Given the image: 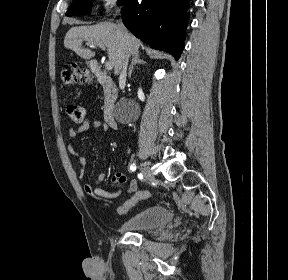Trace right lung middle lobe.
I'll return each mask as SVG.
<instances>
[{"mask_svg": "<svg viewBox=\"0 0 288 280\" xmlns=\"http://www.w3.org/2000/svg\"><path fill=\"white\" fill-rule=\"evenodd\" d=\"M124 0H119V3L122 4ZM91 0H73L71 7L66 12L67 16L73 15H86L91 11Z\"/></svg>", "mask_w": 288, "mask_h": 280, "instance_id": "1", "label": "right lung middle lobe"}]
</instances>
